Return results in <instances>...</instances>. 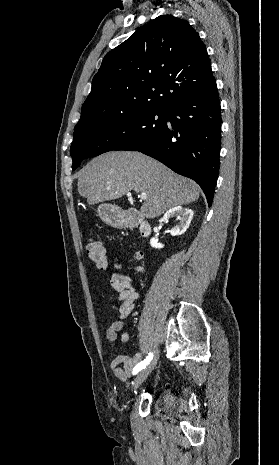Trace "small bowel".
Instances as JSON below:
<instances>
[{
  "instance_id": "c3829d8e",
  "label": "small bowel",
  "mask_w": 279,
  "mask_h": 465,
  "mask_svg": "<svg viewBox=\"0 0 279 465\" xmlns=\"http://www.w3.org/2000/svg\"><path fill=\"white\" fill-rule=\"evenodd\" d=\"M114 267L120 268L121 264L118 259L114 260ZM107 286L116 294L117 299L121 301L119 306H112L118 314L119 320L113 322L106 331V337L112 346L118 338V333L123 328V319L127 317L135 306L136 300L139 298V293L130 277L121 272L113 273L107 281ZM122 344H128L130 337L127 332L120 335ZM143 355L137 353L130 357L127 355H115L111 361V369L114 375L123 382H128L133 375L134 368L140 364ZM122 365V366H121Z\"/></svg>"
}]
</instances>
